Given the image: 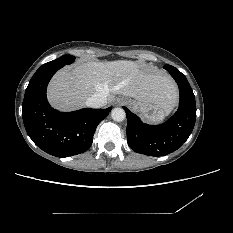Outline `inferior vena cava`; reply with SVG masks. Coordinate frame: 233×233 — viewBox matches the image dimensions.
<instances>
[{
  "mask_svg": "<svg viewBox=\"0 0 233 233\" xmlns=\"http://www.w3.org/2000/svg\"><path fill=\"white\" fill-rule=\"evenodd\" d=\"M107 103V97L103 93H95L86 100V106L91 108H100Z\"/></svg>",
  "mask_w": 233,
  "mask_h": 233,
  "instance_id": "inferior-vena-cava-1",
  "label": "inferior vena cava"
}]
</instances>
